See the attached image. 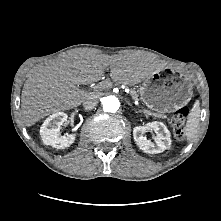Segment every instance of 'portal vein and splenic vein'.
Masks as SVG:
<instances>
[{
	"label": "portal vein and splenic vein",
	"mask_w": 221,
	"mask_h": 221,
	"mask_svg": "<svg viewBox=\"0 0 221 221\" xmlns=\"http://www.w3.org/2000/svg\"><path fill=\"white\" fill-rule=\"evenodd\" d=\"M108 86H109V84L102 82V83L98 84L97 86H95L94 88L99 89V90H103V89L107 88ZM142 111L148 115H152V113L148 110L143 109Z\"/></svg>",
	"instance_id": "portal-vein-and-splenic-vein-1"
}]
</instances>
